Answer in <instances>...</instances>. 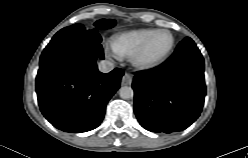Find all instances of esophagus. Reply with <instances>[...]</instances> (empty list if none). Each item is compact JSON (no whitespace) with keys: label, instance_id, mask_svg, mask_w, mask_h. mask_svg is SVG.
Segmentation results:
<instances>
[{"label":"esophagus","instance_id":"34e87169","mask_svg":"<svg viewBox=\"0 0 248 158\" xmlns=\"http://www.w3.org/2000/svg\"><path fill=\"white\" fill-rule=\"evenodd\" d=\"M132 80H133V75L126 72L122 77V84L130 85L132 83Z\"/></svg>","mask_w":248,"mask_h":158}]
</instances>
